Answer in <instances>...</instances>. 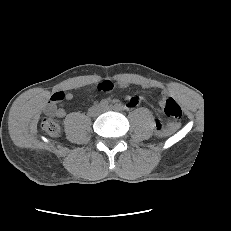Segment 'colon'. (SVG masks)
<instances>
[{"instance_id":"obj_1","label":"colon","mask_w":231,"mask_h":231,"mask_svg":"<svg viewBox=\"0 0 231 231\" xmlns=\"http://www.w3.org/2000/svg\"><path fill=\"white\" fill-rule=\"evenodd\" d=\"M116 88L113 82L103 81L98 84V89L104 92L111 91ZM60 99L59 94H54L51 98V101H56ZM164 112L165 114L174 120L180 119L182 116V109L180 105L173 99L167 98L164 102ZM42 129L51 137H58L61 132L59 121L53 117L48 116L42 120L41 123ZM157 132L159 135L164 136L167 133V130L163 127L162 123L158 122L156 124Z\"/></svg>"}]
</instances>
